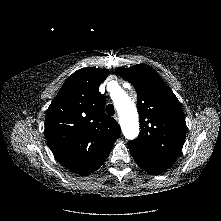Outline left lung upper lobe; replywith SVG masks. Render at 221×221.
<instances>
[{"label": "left lung upper lobe", "mask_w": 221, "mask_h": 221, "mask_svg": "<svg viewBox=\"0 0 221 221\" xmlns=\"http://www.w3.org/2000/svg\"><path fill=\"white\" fill-rule=\"evenodd\" d=\"M116 71L137 91L141 131L129 143L153 155L176 160L186 134L185 117L177 97L149 65L138 64Z\"/></svg>", "instance_id": "left-lung-upper-lobe-1"}]
</instances>
